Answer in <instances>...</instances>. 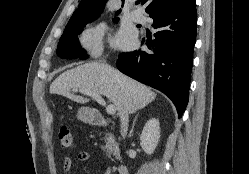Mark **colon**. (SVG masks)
<instances>
[{
  "instance_id": "obj_1",
  "label": "colon",
  "mask_w": 249,
  "mask_h": 174,
  "mask_svg": "<svg viewBox=\"0 0 249 174\" xmlns=\"http://www.w3.org/2000/svg\"><path fill=\"white\" fill-rule=\"evenodd\" d=\"M58 140L62 148L70 149L74 147V136L67 126L60 127L58 131Z\"/></svg>"
}]
</instances>
